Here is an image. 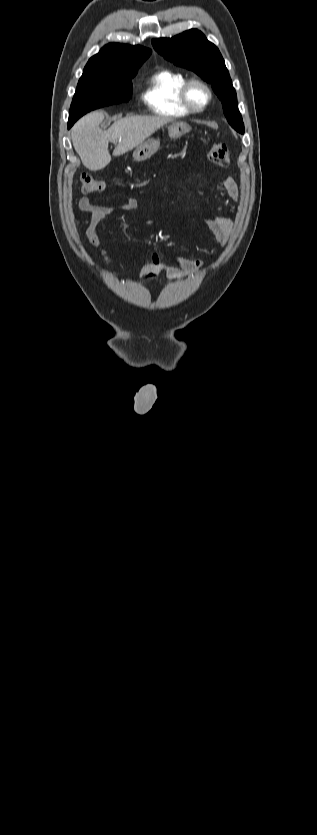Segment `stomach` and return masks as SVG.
<instances>
[{"mask_svg": "<svg viewBox=\"0 0 317 835\" xmlns=\"http://www.w3.org/2000/svg\"><path fill=\"white\" fill-rule=\"evenodd\" d=\"M166 127L171 138H180L191 131V127L185 122H172ZM159 146V139L149 138L137 147L133 157L136 161L147 160L157 152Z\"/></svg>", "mask_w": 317, "mask_h": 835, "instance_id": "0dacf381", "label": "stomach"}]
</instances>
